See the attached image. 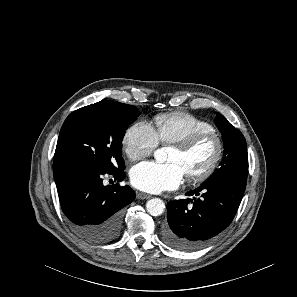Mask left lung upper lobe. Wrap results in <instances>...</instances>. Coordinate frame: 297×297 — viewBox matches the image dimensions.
<instances>
[{"label":"left lung upper lobe","instance_id":"obj_1","mask_svg":"<svg viewBox=\"0 0 297 297\" xmlns=\"http://www.w3.org/2000/svg\"><path fill=\"white\" fill-rule=\"evenodd\" d=\"M215 124L222 134L224 154L221 167L205 181L215 179L246 180L248 176V155L243 134L233 127L223 115H217Z\"/></svg>","mask_w":297,"mask_h":297}]
</instances>
